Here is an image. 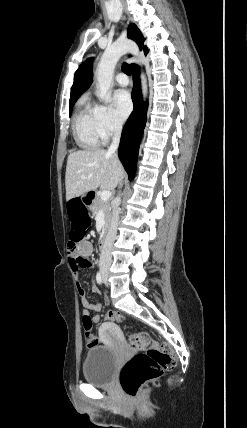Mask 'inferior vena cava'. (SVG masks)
I'll list each match as a JSON object with an SVG mask.
<instances>
[{
	"instance_id": "inferior-vena-cava-1",
	"label": "inferior vena cava",
	"mask_w": 247,
	"mask_h": 428,
	"mask_svg": "<svg viewBox=\"0 0 247 428\" xmlns=\"http://www.w3.org/2000/svg\"><path fill=\"white\" fill-rule=\"evenodd\" d=\"M114 137L112 140V143L108 149V154L111 155H115L117 156V149L119 147V143H120V137H121V131H122V124L121 123H115L114 127ZM119 184L121 185V180L119 182ZM121 203V198L120 196L116 197L115 201H114V208H113V212H112V219H111V224H110V228L109 231L107 233L105 242L103 244L102 250H101V254H100V262L99 265L102 268H109L112 262V247H113V243L116 239V235H117V227H118V223H119V210H118V206Z\"/></svg>"
}]
</instances>
